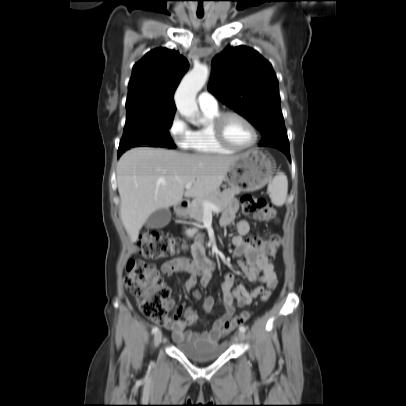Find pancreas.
<instances>
[{
  "mask_svg": "<svg viewBox=\"0 0 406 406\" xmlns=\"http://www.w3.org/2000/svg\"><path fill=\"white\" fill-rule=\"evenodd\" d=\"M239 192V190L230 188L225 189L223 192L217 190L209 195L196 197L189 208L188 215L191 219H194L196 222L200 223L204 215V208L202 206L203 201L213 203L218 207L219 212H221L228 208L231 201L234 200L235 195ZM197 232V228H192L186 229L185 234L188 237H193Z\"/></svg>",
  "mask_w": 406,
  "mask_h": 406,
  "instance_id": "pancreas-1",
  "label": "pancreas"
}]
</instances>
